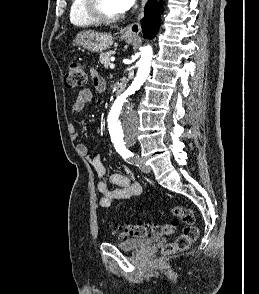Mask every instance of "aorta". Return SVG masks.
Wrapping results in <instances>:
<instances>
[{
    "mask_svg": "<svg viewBox=\"0 0 259 294\" xmlns=\"http://www.w3.org/2000/svg\"><path fill=\"white\" fill-rule=\"evenodd\" d=\"M153 50L150 45L143 47L138 62V72L132 84L125 90L113 104L108 115V132L112 141L125 143L134 142L137 138L139 125L138 115L129 107L128 98L140 89L147 79Z\"/></svg>",
    "mask_w": 259,
    "mask_h": 294,
    "instance_id": "1",
    "label": "aorta"
}]
</instances>
